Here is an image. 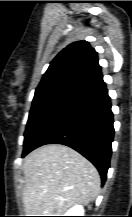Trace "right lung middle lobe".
<instances>
[{
  "mask_svg": "<svg viewBox=\"0 0 132 217\" xmlns=\"http://www.w3.org/2000/svg\"><path fill=\"white\" fill-rule=\"evenodd\" d=\"M77 97V95L66 91H54L34 96L24 133L23 154L33 145L62 109Z\"/></svg>",
  "mask_w": 132,
  "mask_h": 217,
  "instance_id": "1",
  "label": "right lung middle lobe"
}]
</instances>
